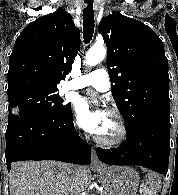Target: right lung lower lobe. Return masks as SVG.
I'll return each instance as SVG.
<instances>
[{
  "mask_svg": "<svg viewBox=\"0 0 178 195\" xmlns=\"http://www.w3.org/2000/svg\"><path fill=\"white\" fill-rule=\"evenodd\" d=\"M58 160L90 164L91 148L75 131L71 109L63 113H10L6 130V162Z\"/></svg>",
  "mask_w": 178,
  "mask_h": 195,
  "instance_id": "obj_1",
  "label": "right lung lower lobe"
}]
</instances>
